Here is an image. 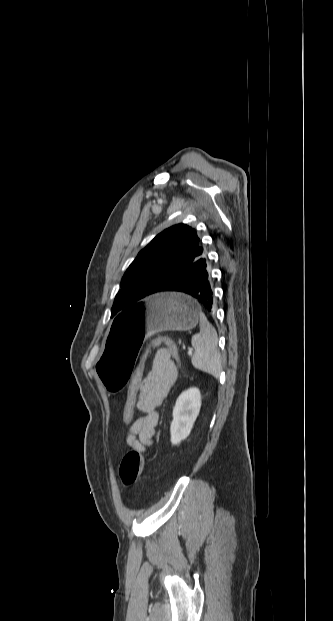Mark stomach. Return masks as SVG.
Returning a JSON list of instances; mask_svg holds the SVG:
<instances>
[{
	"instance_id": "obj_1",
	"label": "stomach",
	"mask_w": 333,
	"mask_h": 621,
	"mask_svg": "<svg viewBox=\"0 0 333 621\" xmlns=\"http://www.w3.org/2000/svg\"><path fill=\"white\" fill-rule=\"evenodd\" d=\"M191 297L180 293H161L115 317L104 340L97 372L110 396L124 391L134 375L142 354L144 338L165 331H186L203 317Z\"/></svg>"
}]
</instances>
